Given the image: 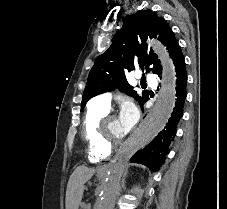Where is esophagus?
<instances>
[{
	"label": "esophagus",
	"instance_id": "esophagus-1",
	"mask_svg": "<svg viewBox=\"0 0 227 209\" xmlns=\"http://www.w3.org/2000/svg\"><path fill=\"white\" fill-rule=\"evenodd\" d=\"M151 113H153V108H146V112H144V116L142 117V120L140 122H142V125H140V128H145L146 122L150 121L151 117ZM117 164H122L123 163V157H120V159L116 160ZM112 168H114V165L111 166H104L103 169H100V172L96 173L97 177H106L107 174H109V171L112 170Z\"/></svg>",
	"mask_w": 227,
	"mask_h": 209
}]
</instances>
